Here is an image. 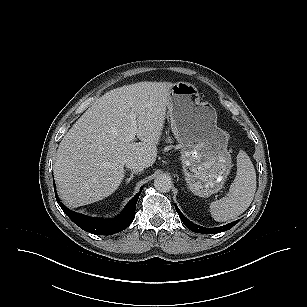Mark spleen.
I'll list each match as a JSON object with an SVG mask.
<instances>
[{"label": "spleen", "instance_id": "1", "mask_svg": "<svg viewBox=\"0 0 307 307\" xmlns=\"http://www.w3.org/2000/svg\"><path fill=\"white\" fill-rule=\"evenodd\" d=\"M256 191V172L249 156L241 150L237 155V175L227 196L212 202L210 212L214 220L235 219L250 206Z\"/></svg>", "mask_w": 307, "mask_h": 307}]
</instances>
